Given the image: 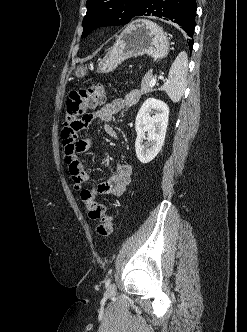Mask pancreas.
I'll list each match as a JSON object with an SVG mask.
<instances>
[{
  "instance_id": "cf45deb5",
  "label": "pancreas",
  "mask_w": 247,
  "mask_h": 332,
  "mask_svg": "<svg viewBox=\"0 0 247 332\" xmlns=\"http://www.w3.org/2000/svg\"><path fill=\"white\" fill-rule=\"evenodd\" d=\"M152 78H153V75L151 72L146 73V75L143 77L142 82H141V88L139 91V93L141 95L152 92V89H150V86H149V83Z\"/></svg>"
}]
</instances>
